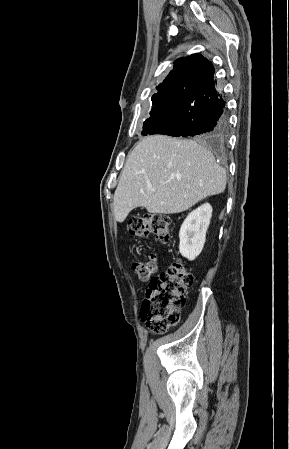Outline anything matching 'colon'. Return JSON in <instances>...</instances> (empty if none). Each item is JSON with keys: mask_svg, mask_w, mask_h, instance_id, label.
<instances>
[{"mask_svg": "<svg viewBox=\"0 0 289 449\" xmlns=\"http://www.w3.org/2000/svg\"><path fill=\"white\" fill-rule=\"evenodd\" d=\"M128 232L138 238L154 234L161 242H168L173 230L170 217L159 213H146L128 222ZM133 270L142 281H149L141 307V317L147 327L164 334L180 321V312L186 303V292L194 283V276L181 262L175 261L159 277L156 274V257L149 254L145 260L133 262Z\"/></svg>", "mask_w": 289, "mask_h": 449, "instance_id": "5ec220e1", "label": "colon"}]
</instances>
